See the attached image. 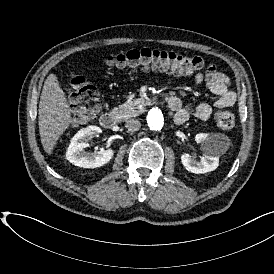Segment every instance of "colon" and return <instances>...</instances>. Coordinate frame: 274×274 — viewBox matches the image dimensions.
Returning <instances> with one entry per match:
<instances>
[{"mask_svg": "<svg viewBox=\"0 0 274 274\" xmlns=\"http://www.w3.org/2000/svg\"><path fill=\"white\" fill-rule=\"evenodd\" d=\"M106 64L122 69H159L177 74H188L205 67L204 59L199 55L150 48L130 49L109 55ZM67 94L69 102L77 112V119H83L98 111L97 88L82 77L72 78ZM215 123L221 130L229 131L235 127L236 118L231 110L220 109L215 115Z\"/></svg>", "mask_w": 274, "mask_h": 274, "instance_id": "5ec220e1", "label": "colon"}]
</instances>
